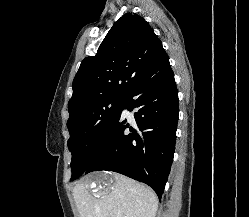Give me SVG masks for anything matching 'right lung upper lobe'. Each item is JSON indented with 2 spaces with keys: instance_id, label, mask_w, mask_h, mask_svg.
Listing matches in <instances>:
<instances>
[{
  "instance_id": "1",
  "label": "right lung upper lobe",
  "mask_w": 249,
  "mask_h": 217,
  "mask_svg": "<svg viewBox=\"0 0 249 217\" xmlns=\"http://www.w3.org/2000/svg\"><path fill=\"white\" fill-rule=\"evenodd\" d=\"M164 53L162 42L143 17L124 14L97 54L82 61L73 80L69 114L101 98L125 97Z\"/></svg>"
}]
</instances>
